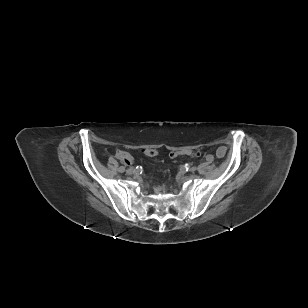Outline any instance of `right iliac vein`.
Wrapping results in <instances>:
<instances>
[{"instance_id":"obj_1","label":"right iliac vein","mask_w":308,"mask_h":308,"mask_svg":"<svg viewBox=\"0 0 308 308\" xmlns=\"http://www.w3.org/2000/svg\"><path fill=\"white\" fill-rule=\"evenodd\" d=\"M126 173H127V174H132V173H133V169H131V168H130V169H127V170H126Z\"/></svg>"}]
</instances>
